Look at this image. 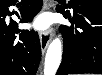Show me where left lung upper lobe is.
<instances>
[{
  "instance_id": "5c2ea615",
  "label": "left lung upper lobe",
  "mask_w": 102,
  "mask_h": 75,
  "mask_svg": "<svg viewBox=\"0 0 102 75\" xmlns=\"http://www.w3.org/2000/svg\"><path fill=\"white\" fill-rule=\"evenodd\" d=\"M68 7L72 8L74 13L88 10L102 11V0H71L68 2Z\"/></svg>"
}]
</instances>
